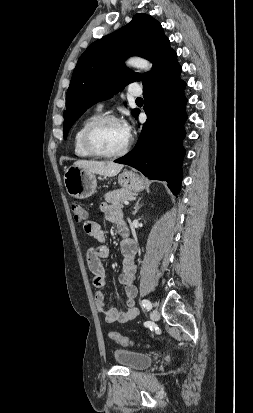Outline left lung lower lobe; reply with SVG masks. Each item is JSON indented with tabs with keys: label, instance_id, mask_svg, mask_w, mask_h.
I'll return each mask as SVG.
<instances>
[{
	"label": "left lung lower lobe",
	"instance_id": "left-lung-lower-lobe-1",
	"mask_svg": "<svg viewBox=\"0 0 253 413\" xmlns=\"http://www.w3.org/2000/svg\"><path fill=\"white\" fill-rule=\"evenodd\" d=\"M181 70L177 54L173 51L156 75L143 84L147 121L135 148L115 160L136 168L149 179L167 181L174 195L180 191L181 165L185 155L182 140L185 137L183 125L187 119V101L182 94L186 84L178 77Z\"/></svg>",
	"mask_w": 253,
	"mask_h": 413
}]
</instances>
